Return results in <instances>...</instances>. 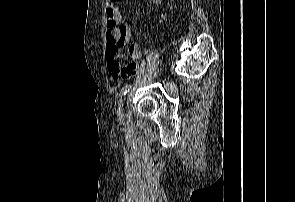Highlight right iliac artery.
I'll use <instances>...</instances> for the list:
<instances>
[{
  "label": "right iliac artery",
  "instance_id": "right-iliac-artery-1",
  "mask_svg": "<svg viewBox=\"0 0 295 202\" xmlns=\"http://www.w3.org/2000/svg\"><path fill=\"white\" fill-rule=\"evenodd\" d=\"M130 85H125L122 89H121V91H120V97L122 98V96H124V95H126V93L129 91V89H130Z\"/></svg>",
  "mask_w": 295,
  "mask_h": 202
}]
</instances>
